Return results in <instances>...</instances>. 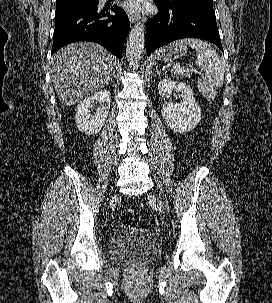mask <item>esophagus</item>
Wrapping results in <instances>:
<instances>
[{
	"label": "esophagus",
	"mask_w": 272,
	"mask_h": 303,
	"mask_svg": "<svg viewBox=\"0 0 272 303\" xmlns=\"http://www.w3.org/2000/svg\"><path fill=\"white\" fill-rule=\"evenodd\" d=\"M128 18H129V20H130L131 23H134V22H136V21L139 20L138 15H135V14H132V13L128 14Z\"/></svg>",
	"instance_id": "1"
}]
</instances>
